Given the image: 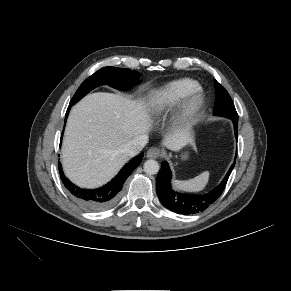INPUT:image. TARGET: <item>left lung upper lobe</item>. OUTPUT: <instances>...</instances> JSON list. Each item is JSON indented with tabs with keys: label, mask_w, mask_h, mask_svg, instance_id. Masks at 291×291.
Returning a JSON list of instances; mask_svg holds the SVG:
<instances>
[{
	"label": "left lung upper lobe",
	"mask_w": 291,
	"mask_h": 291,
	"mask_svg": "<svg viewBox=\"0 0 291 291\" xmlns=\"http://www.w3.org/2000/svg\"><path fill=\"white\" fill-rule=\"evenodd\" d=\"M216 90V102L214 115L235 116L238 117L235 106L228 92L216 80L214 82Z\"/></svg>",
	"instance_id": "obj_1"
}]
</instances>
